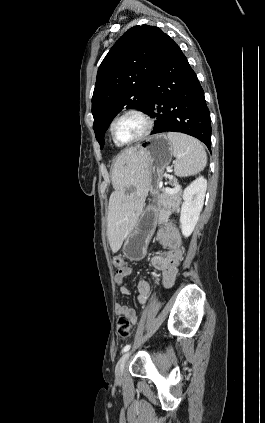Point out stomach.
I'll return each instance as SVG.
<instances>
[{"label":"stomach","instance_id":"stomach-1","mask_svg":"<svg viewBox=\"0 0 265 423\" xmlns=\"http://www.w3.org/2000/svg\"><path fill=\"white\" fill-rule=\"evenodd\" d=\"M139 151L148 156L149 191L152 197L158 198L163 171L173 156L172 143L165 134H158L149 137L140 145ZM158 220L159 209L153 200L142 210L125 240L123 253L128 259L138 261L145 257L149 240Z\"/></svg>","mask_w":265,"mask_h":423}]
</instances>
